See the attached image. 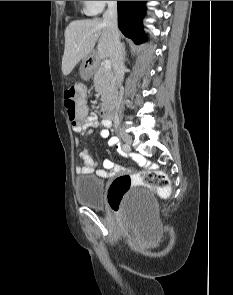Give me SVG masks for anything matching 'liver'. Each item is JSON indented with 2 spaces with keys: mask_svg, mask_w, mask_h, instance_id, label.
<instances>
[{
  "mask_svg": "<svg viewBox=\"0 0 233 295\" xmlns=\"http://www.w3.org/2000/svg\"><path fill=\"white\" fill-rule=\"evenodd\" d=\"M97 40V58L99 60L109 58V32L104 20L100 18L76 20L67 26L62 57L64 76L69 75L80 60L88 56Z\"/></svg>",
  "mask_w": 233,
  "mask_h": 295,
  "instance_id": "6515ba94",
  "label": "liver"
}]
</instances>
